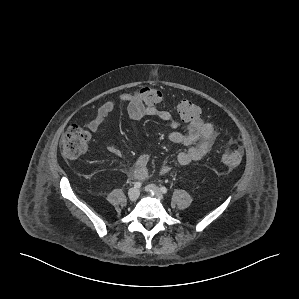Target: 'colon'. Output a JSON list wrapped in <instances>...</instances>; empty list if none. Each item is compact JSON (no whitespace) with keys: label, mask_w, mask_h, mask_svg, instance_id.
<instances>
[{"label":"colon","mask_w":299,"mask_h":299,"mask_svg":"<svg viewBox=\"0 0 299 299\" xmlns=\"http://www.w3.org/2000/svg\"><path fill=\"white\" fill-rule=\"evenodd\" d=\"M139 94L144 103L150 107H158L162 100L159 90L151 87H144L139 90ZM177 112L180 119L184 122H191L200 117L199 107L190 100H182L177 105ZM90 135L88 131L78 125H71L65 132L62 142V154L68 160L80 157L87 150ZM243 152L239 148L225 146L221 153V162L229 167L235 168L240 165Z\"/></svg>","instance_id":"1"}]
</instances>
